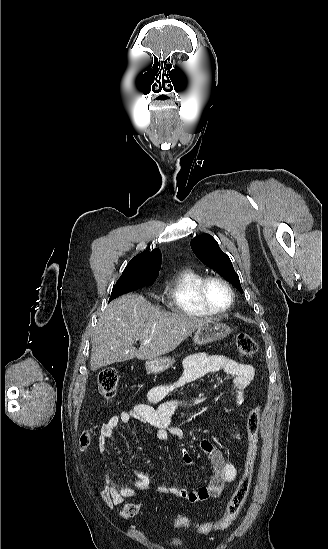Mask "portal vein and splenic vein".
I'll return each mask as SVG.
<instances>
[{
	"label": "portal vein and splenic vein",
	"mask_w": 328,
	"mask_h": 549,
	"mask_svg": "<svg viewBox=\"0 0 328 549\" xmlns=\"http://www.w3.org/2000/svg\"><path fill=\"white\" fill-rule=\"evenodd\" d=\"M145 343H151V341H145Z\"/></svg>",
	"instance_id": "1"
}]
</instances>
